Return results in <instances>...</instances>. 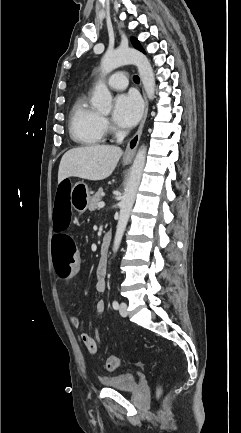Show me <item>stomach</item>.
Returning a JSON list of instances; mask_svg holds the SVG:
<instances>
[{"instance_id":"0dacf381","label":"stomach","mask_w":241,"mask_h":433,"mask_svg":"<svg viewBox=\"0 0 241 433\" xmlns=\"http://www.w3.org/2000/svg\"><path fill=\"white\" fill-rule=\"evenodd\" d=\"M128 164V161H124ZM90 193L88 186L83 182H78L71 187V206L79 213H84L90 202Z\"/></svg>"}]
</instances>
